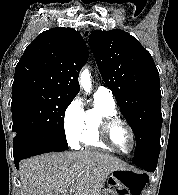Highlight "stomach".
Returning <instances> with one entry per match:
<instances>
[{
  "mask_svg": "<svg viewBox=\"0 0 178 195\" xmlns=\"http://www.w3.org/2000/svg\"><path fill=\"white\" fill-rule=\"evenodd\" d=\"M130 170H114L107 177L106 187L101 195H128L127 180L130 177Z\"/></svg>",
  "mask_w": 178,
  "mask_h": 195,
  "instance_id": "stomach-1",
  "label": "stomach"
}]
</instances>
